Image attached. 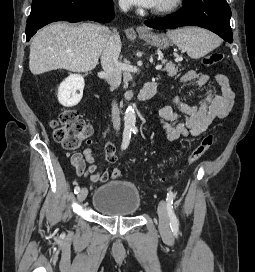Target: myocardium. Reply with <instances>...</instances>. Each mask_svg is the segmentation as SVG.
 <instances>
[{
  "label": "myocardium",
  "instance_id": "1",
  "mask_svg": "<svg viewBox=\"0 0 255 272\" xmlns=\"http://www.w3.org/2000/svg\"><path fill=\"white\" fill-rule=\"evenodd\" d=\"M182 3L183 0H169L164 5L154 8L152 13L155 15H165L178 9Z\"/></svg>",
  "mask_w": 255,
  "mask_h": 272
}]
</instances>
